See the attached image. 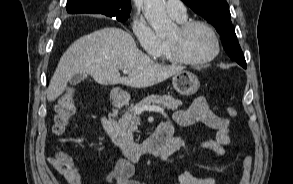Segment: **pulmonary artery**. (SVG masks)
<instances>
[{
    "instance_id": "obj_1",
    "label": "pulmonary artery",
    "mask_w": 293,
    "mask_h": 184,
    "mask_svg": "<svg viewBox=\"0 0 293 184\" xmlns=\"http://www.w3.org/2000/svg\"><path fill=\"white\" fill-rule=\"evenodd\" d=\"M166 10L174 19L186 18V8L180 0H167Z\"/></svg>"
}]
</instances>
